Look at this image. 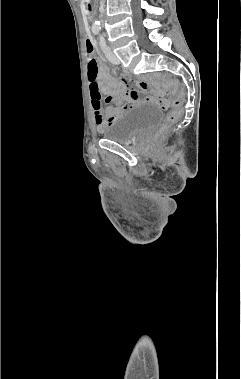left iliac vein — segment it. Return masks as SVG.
I'll use <instances>...</instances> for the list:
<instances>
[{"label": "left iliac vein", "instance_id": "4c4485c4", "mask_svg": "<svg viewBox=\"0 0 241 379\" xmlns=\"http://www.w3.org/2000/svg\"><path fill=\"white\" fill-rule=\"evenodd\" d=\"M105 54H106L107 59L111 63H113V64H119L120 63L118 57L114 54V52L109 47H106Z\"/></svg>", "mask_w": 241, "mask_h": 379}]
</instances>
